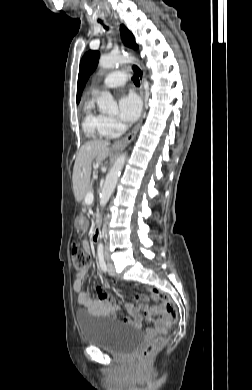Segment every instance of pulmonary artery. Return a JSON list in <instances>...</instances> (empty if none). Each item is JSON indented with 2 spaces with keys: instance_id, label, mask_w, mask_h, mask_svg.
Here are the masks:
<instances>
[{
  "instance_id": "e3ab8cb5",
  "label": "pulmonary artery",
  "mask_w": 252,
  "mask_h": 390,
  "mask_svg": "<svg viewBox=\"0 0 252 390\" xmlns=\"http://www.w3.org/2000/svg\"><path fill=\"white\" fill-rule=\"evenodd\" d=\"M128 74L123 71H114L103 80L104 88H116L125 84Z\"/></svg>"
}]
</instances>
